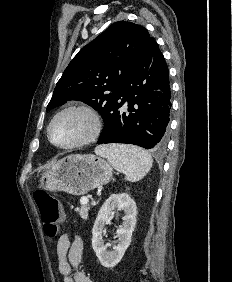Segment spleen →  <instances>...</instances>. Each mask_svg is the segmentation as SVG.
Instances as JSON below:
<instances>
[{"label": "spleen", "instance_id": "obj_1", "mask_svg": "<svg viewBox=\"0 0 232 282\" xmlns=\"http://www.w3.org/2000/svg\"><path fill=\"white\" fill-rule=\"evenodd\" d=\"M96 154L108 159L119 172L125 174L128 181L142 179L151 169L153 159L142 148L130 145H104L95 149Z\"/></svg>", "mask_w": 232, "mask_h": 282}]
</instances>
